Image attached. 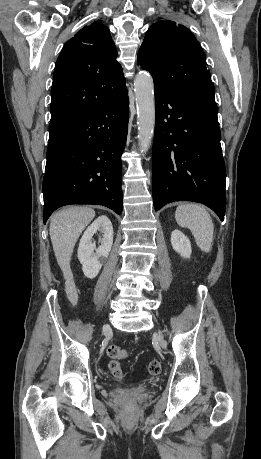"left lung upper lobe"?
I'll return each instance as SVG.
<instances>
[{
  "mask_svg": "<svg viewBox=\"0 0 261 459\" xmlns=\"http://www.w3.org/2000/svg\"><path fill=\"white\" fill-rule=\"evenodd\" d=\"M137 61L151 73L154 87L184 97L215 101L205 54L185 26L167 20L150 26Z\"/></svg>",
  "mask_w": 261,
  "mask_h": 459,
  "instance_id": "left-lung-upper-lobe-1",
  "label": "left lung upper lobe"
}]
</instances>
